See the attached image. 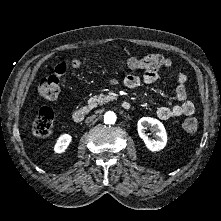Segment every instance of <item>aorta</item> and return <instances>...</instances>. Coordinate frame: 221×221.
Listing matches in <instances>:
<instances>
[{"label":"aorta","mask_w":221,"mask_h":221,"mask_svg":"<svg viewBox=\"0 0 221 221\" xmlns=\"http://www.w3.org/2000/svg\"><path fill=\"white\" fill-rule=\"evenodd\" d=\"M117 116L113 111H107L104 114V123L105 124H114L116 122Z\"/></svg>","instance_id":"762f6f07"}]
</instances>
